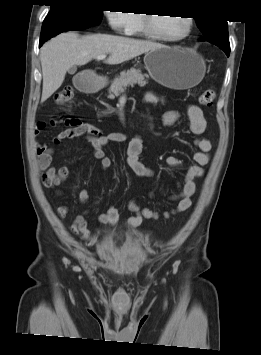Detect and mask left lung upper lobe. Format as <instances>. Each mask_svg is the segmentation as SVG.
I'll return each mask as SVG.
<instances>
[{
	"mask_svg": "<svg viewBox=\"0 0 261 355\" xmlns=\"http://www.w3.org/2000/svg\"><path fill=\"white\" fill-rule=\"evenodd\" d=\"M198 28L203 33L202 40H207L220 47L227 56L230 54L228 39V24L223 20H212L206 18H195Z\"/></svg>",
	"mask_w": 261,
	"mask_h": 355,
	"instance_id": "left-lung-upper-lobe-1",
	"label": "left lung upper lobe"
}]
</instances>
